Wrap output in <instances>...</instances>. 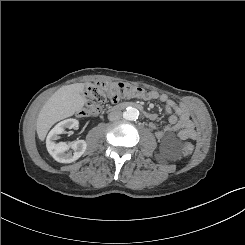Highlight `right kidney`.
I'll return each mask as SVG.
<instances>
[{
    "instance_id": "obj_1",
    "label": "right kidney",
    "mask_w": 245,
    "mask_h": 245,
    "mask_svg": "<svg viewBox=\"0 0 245 245\" xmlns=\"http://www.w3.org/2000/svg\"><path fill=\"white\" fill-rule=\"evenodd\" d=\"M78 120L66 119L58 123L48 134L46 139V147L49 154L60 163H71L79 159L87 148V143L84 140H77L69 144L65 142H55L58 135L64 132L66 128L72 129L78 126ZM69 148L72 151H68Z\"/></svg>"
}]
</instances>
